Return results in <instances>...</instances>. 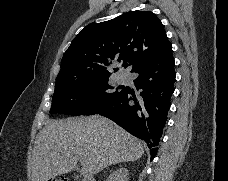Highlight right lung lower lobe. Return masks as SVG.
<instances>
[{
    "instance_id": "98d812e1",
    "label": "right lung lower lobe",
    "mask_w": 228,
    "mask_h": 181,
    "mask_svg": "<svg viewBox=\"0 0 228 181\" xmlns=\"http://www.w3.org/2000/svg\"><path fill=\"white\" fill-rule=\"evenodd\" d=\"M138 74L134 89L124 88L123 95L107 106L100 115L106 116L132 135L144 140L151 159L157 154L163 126L174 92V58L172 47L153 57L133 71Z\"/></svg>"
}]
</instances>
